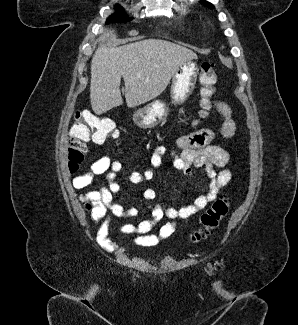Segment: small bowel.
Segmentation results:
<instances>
[{"instance_id": "1", "label": "small bowel", "mask_w": 298, "mask_h": 325, "mask_svg": "<svg viewBox=\"0 0 298 325\" xmlns=\"http://www.w3.org/2000/svg\"><path fill=\"white\" fill-rule=\"evenodd\" d=\"M216 111L224 119L221 135L230 138L235 132V122L231 116L229 105L223 101L215 103ZM215 133L209 128H203L189 134L179 136L175 140L178 151L169 150L163 145L157 146L150 155L151 167L145 171H133L128 174V179L133 184L149 181L154 176V170L161 166L163 157L172 159L175 169L182 176L190 177L193 168L202 169L208 179L207 191L198 196L193 204L168 206L164 201L158 200L155 190L148 188L143 192V197L150 203L146 208L150 211L152 219L143 220L137 224L127 223L120 227V232L126 237H132L134 244L141 247L154 248L169 239L175 232L176 223L164 224L157 234L151 233L155 222L167 217L172 220H188L197 211L206 208L213 202L221 190L230 182L231 172L225 168L229 162V153L212 144ZM216 168H221L216 170ZM122 170L119 161L112 160L108 155L94 161L90 169L73 178L72 184L76 189H85L91 185L96 176H103L107 185L98 190H92L80 195V201L85 210L90 214L92 221L98 225L96 240L107 251L119 249V245L108 237L111 217L135 218L139 214L137 207L124 208L113 202V195L120 189L115 182L117 174ZM156 201L155 203H152ZM109 213V215H108Z\"/></svg>"}]
</instances>
